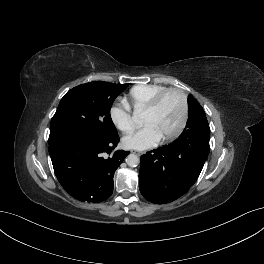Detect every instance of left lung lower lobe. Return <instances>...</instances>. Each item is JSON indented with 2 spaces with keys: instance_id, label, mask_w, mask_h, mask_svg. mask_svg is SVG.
<instances>
[{
  "instance_id": "0a47b994",
  "label": "left lung lower lobe",
  "mask_w": 264,
  "mask_h": 264,
  "mask_svg": "<svg viewBox=\"0 0 264 264\" xmlns=\"http://www.w3.org/2000/svg\"><path fill=\"white\" fill-rule=\"evenodd\" d=\"M210 128L186 129L174 142L141 156L139 188L145 199L164 204L185 194L209 153Z\"/></svg>"
}]
</instances>
